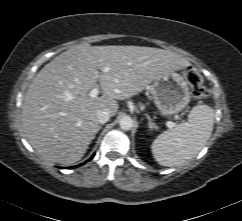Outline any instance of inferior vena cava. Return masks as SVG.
I'll use <instances>...</instances> for the list:
<instances>
[{"instance_id":"1","label":"inferior vena cava","mask_w":242,"mask_h":221,"mask_svg":"<svg viewBox=\"0 0 242 221\" xmlns=\"http://www.w3.org/2000/svg\"><path fill=\"white\" fill-rule=\"evenodd\" d=\"M96 115L98 122L100 124H104L110 119L111 113L106 109H98L96 111Z\"/></svg>"}]
</instances>
